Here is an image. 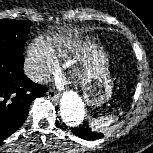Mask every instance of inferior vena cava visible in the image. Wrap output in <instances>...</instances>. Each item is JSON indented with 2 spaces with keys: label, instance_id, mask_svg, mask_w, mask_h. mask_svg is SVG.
I'll list each match as a JSON object with an SVG mask.
<instances>
[{
  "label": "inferior vena cava",
  "instance_id": "602c4592",
  "mask_svg": "<svg viewBox=\"0 0 153 153\" xmlns=\"http://www.w3.org/2000/svg\"><path fill=\"white\" fill-rule=\"evenodd\" d=\"M25 72H26L27 77L35 83L47 84L50 81V76L47 73L39 69H33V68L27 67L25 69Z\"/></svg>",
  "mask_w": 153,
  "mask_h": 153
}]
</instances>
